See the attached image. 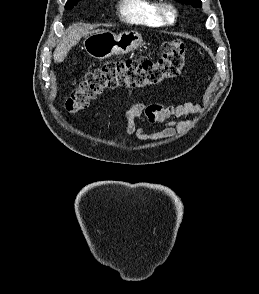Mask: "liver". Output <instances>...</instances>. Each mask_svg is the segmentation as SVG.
I'll return each instance as SVG.
<instances>
[{
  "label": "liver",
  "mask_w": 259,
  "mask_h": 294,
  "mask_svg": "<svg viewBox=\"0 0 259 294\" xmlns=\"http://www.w3.org/2000/svg\"><path fill=\"white\" fill-rule=\"evenodd\" d=\"M89 33V29L80 23L71 25L66 30L65 35L62 37V40L57 45L53 53L54 62H63L64 59L67 57V54L70 51V49L76 44H78V42L83 36H87Z\"/></svg>",
  "instance_id": "obj_1"
}]
</instances>
